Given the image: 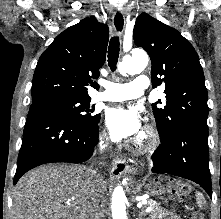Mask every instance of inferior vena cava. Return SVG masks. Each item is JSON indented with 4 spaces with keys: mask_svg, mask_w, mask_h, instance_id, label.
<instances>
[{
    "mask_svg": "<svg viewBox=\"0 0 221 219\" xmlns=\"http://www.w3.org/2000/svg\"><path fill=\"white\" fill-rule=\"evenodd\" d=\"M109 143L105 140H102L100 142L99 151L100 153H103L104 151L109 150ZM92 180L94 181V191H101V175L97 174L96 171H92ZM105 217V211L99 206V203L95 202L91 208L90 211V219H104Z\"/></svg>",
    "mask_w": 221,
    "mask_h": 219,
    "instance_id": "inferior-vena-cava-1",
    "label": "inferior vena cava"
}]
</instances>
